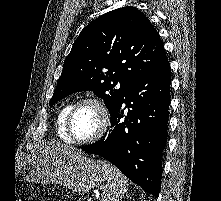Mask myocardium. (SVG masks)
I'll list each match as a JSON object with an SVG mask.
<instances>
[{"mask_svg": "<svg viewBox=\"0 0 221 201\" xmlns=\"http://www.w3.org/2000/svg\"><path fill=\"white\" fill-rule=\"evenodd\" d=\"M85 104H92L97 109L100 115L101 124H100L99 131L94 136L88 139L78 140L74 138V136L72 135L71 124H72V119L76 111ZM109 125H110V113L106 104L100 98L96 96H87L78 100L71 106L67 114L65 128H66L67 136L71 143H74L77 145H87V144L94 143L98 141L100 138H102L106 134L109 128Z\"/></svg>", "mask_w": 221, "mask_h": 201, "instance_id": "1", "label": "myocardium"}]
</instances>
